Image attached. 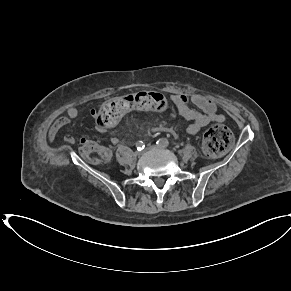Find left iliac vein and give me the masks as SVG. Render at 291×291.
<instances>
[{
    "label": "left iliac vein",
    "mask_w": 291,
    "mask_h": 291,
    "mask_svg": "<svg viewBox=\"0 0 291 291\" xmlns=\"http://www.w3.org/2000/svg\"><path fill=\"white\" fill-rule=\"evenodd\" d=\"M157 148H159V147L158 146H149V147H147L146 150L157 149Z\"/></svg>",
    "instance_id": "left-iliac-vein-1"
}]
</instances>
